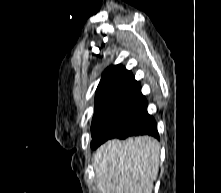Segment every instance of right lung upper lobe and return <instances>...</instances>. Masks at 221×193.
<instances>
[{"instance_id":"obj_1","label":"right lung upper lobe","mask_w":221,"mask_h":193,"mask_svg":"<svg viewBox=\"0 0 221 193\" xmlns=\"http://www.w3.org/2000/svg\"><path fill=\"white\" fill-rule=\"evenodd\" d=\"M121 102H146L139 82L121 65L109 67L97 87L95 112Z\"/></svg>"}]
</instances>
